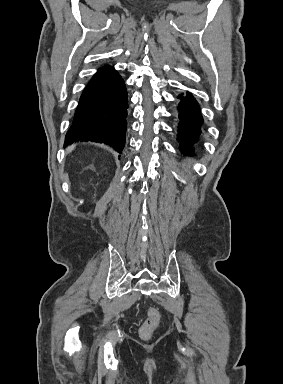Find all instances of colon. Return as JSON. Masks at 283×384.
Masks as SVG:
<instances>
[{"label":"colon","instance_id":"obj_1","mask_svg":"<svg viewBox=\"0 0 283 384\" xmlns=\"http://www.w3.org/2000/svg\"><path fill=\"white\" fill-rule=\"evenodd\" d=\"M160 322V314L157 309L149 307L147 309V318L139 329L140 337L148 339L151 337Z\"/></svg>","mask_w":283,"mask_h":384}]
</instances>
